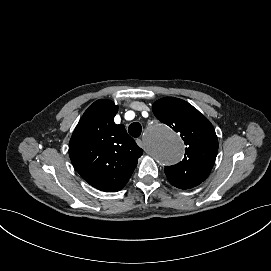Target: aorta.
Instances as JSON below:
<instances>
[{"label":"aorta","mask_w":271,"mask_h":271,"mask_svg":"<svg viewBox=\"0 0 271 271\" xmlns=\"http://www.w3.org/2000/svg\"><path fill=\"white\" fill-rule=\"evenodd\" d=\"M148 151L160 163L172 165L184 156V144L172 129L156 127L146 134Z\"/></svg>","instance_id":"762f6f07"}]
</instances>
